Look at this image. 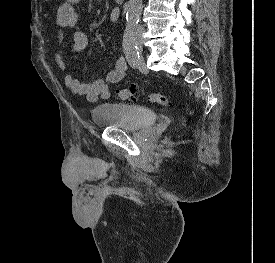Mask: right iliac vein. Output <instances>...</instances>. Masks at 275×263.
<instances>
[{
	"label": "right iliac vein",
	"mask_w": 275,
	"mask_h": 263,
	"mask_svg": "<svg viewBox=\"0 0 275 263\" xmlns=\"http://www.w3.org/2000/svg\"><path fill=\"white\" fill-rule=\"evenodd\" d=\"M136 44L139 46V47H141V45H142V42H141V40H136Z\"/></svg>",
	"instance_id": "1"
}]
</instances>
